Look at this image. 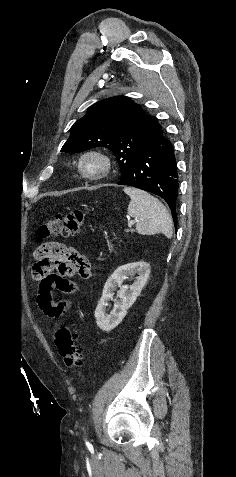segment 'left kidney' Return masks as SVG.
I'll return each mask as SVG.
<instances>
[{
    "mask_svg": "<svg viewBox=\"0 0 236 477\" xmlns=\"http://www.w3.org/2000/svg\"><path fill=\"white\" fill-rule=\"evenodd\" d=\"M150 274V265L146 262H134L118 267L105 283L102 297L95 310V318L98 327L103 331H111L118 326L127 314V310L134 304L145 286ZM137 275L133 284L129 287L122 285L128 276ZM117 286L119 300L114 302L113 310L108 314L106 306L112 299Z\"/></svg>",
    "mask_w": 236,
    "mask_h": 477,
    "instance_id": "left-kidney-1",
    "label": "left kidney"
}]
</instances>
